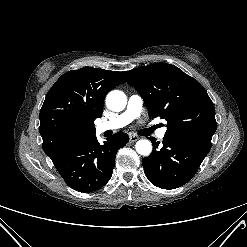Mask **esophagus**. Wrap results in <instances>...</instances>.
Wrapping results in <instances>:
<instances>
[{
	"mask_svg": "<svg viewBox=\"0 0 247 247\" xmlns=\"http://www.w3.org/2000/svg\"><path fill=\"white\" fill-rule=\"evenodd\" d=\"M129 140H130L131 142H136L137 140H139V136H137V135H135V134H130Z\"/></svg>",
	"mask_w": 247,
	"mask_h": 247,
	"instance_id": "34e87169",
	"label": "esophagus"
}]
</instances>
